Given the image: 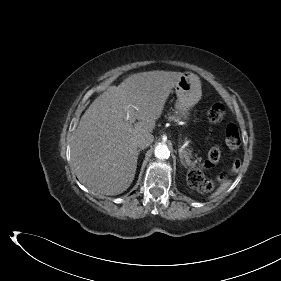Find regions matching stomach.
<instances>
[{"label": "stomach", "mask_w": 281, "mask_h": 281, "mask_svg": "<svg viewBox=\"0 0 281 281\" xmlns=\"http://www.w3.org/2000/svg\"><path fill=\"white\" fill-rule=\"evenodd\" d=\"M177 101L175 104L177 114L187 119L189 110L201 98V82L197 75L193 73H183L175 84Z\"/></svg>", "instance_id": "stomach-1"}]
</instances>
